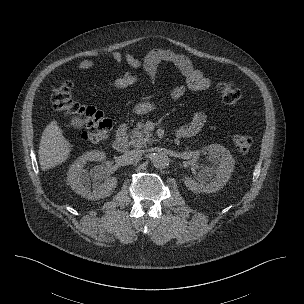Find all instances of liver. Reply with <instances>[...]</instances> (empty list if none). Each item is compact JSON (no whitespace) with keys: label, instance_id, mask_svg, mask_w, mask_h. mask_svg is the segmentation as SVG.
<instances>
[{"label":"liver","instance_id":"obj_1","mask_svg":"<svg viewBox=\"0 0 304 304\" xmlns=\"http://www.w3.org/2000/svg\"><path fill=\"white\" fill-rule=\"evenodd\" d=\"M136 81L135 77L117 79L115 86L125 88ZM73 145L63 136L57 121H51L44 129L38 150L39 163L42 171L48 170L65 162L70 156Z\"/></svg>","mask_w":304,"mask_h":304}]
</instances>
